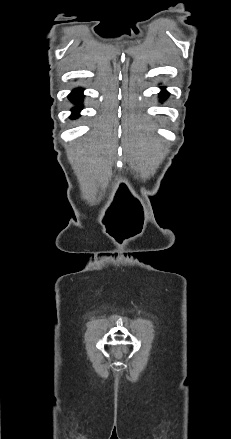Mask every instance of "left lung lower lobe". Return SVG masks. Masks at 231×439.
<instances>
[{
    "mask_svg": "<svg viewBox=\"0 0 231 439\" xmlns=\"http://www.w3.org/2000/svg\"><path fill=\"white\" fill-rule=\"evenodd\" d=\"M168 95H169V93L166 92L165 90H163V91L160 93V97H162V99H166V98L168 97Z\"/></svg>",
    "mask_w": 231,
    "mask_h": 439,
    "instance_id": "left-lung-lower-lobe-1",
    "label": "left lung lower lobe"
}]
</instances>
